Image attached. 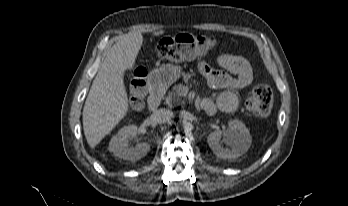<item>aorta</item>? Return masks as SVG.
<instances>
[{
  "instance_id": "obj_1",
  "label": "aorta",
  "mask_w": 348,
  "mask_h": 206,
  "mask_svg": "<svg viewBox=\"0 0 348 206\" xmlns=\"http://www.w3.org/2000/svg\"><path fill=\"white\" fill-rule=\"evenodd\" d=\"M179 126L185 131H189L191 129V124L187 120H181L179 122Z\"/></svg>"
}]
</instances>
